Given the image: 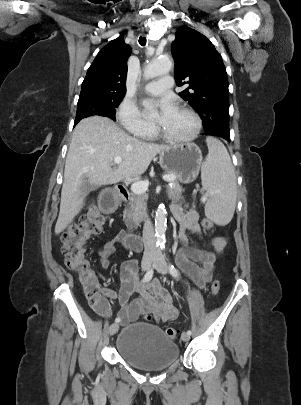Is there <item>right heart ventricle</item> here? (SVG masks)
Listing matches in <instances>:
<instances>
[{
    "label": "right heart ventricle",
    "instance_id": "right-heart-ventricle-1",
    "mask_svg": "<svg viewBox=\"0 0 301 405\" xmlns=\"http://www.w3.org/2000/svg\"><path fill=\"white\" fill-rule=\"evenodd\" d=\"M155 136L153 131H150L149 133L142 135L143 138H153Z\"/></svg>",
    "mask_w": 301,
    "mask_h": 405
}]
</instances>
